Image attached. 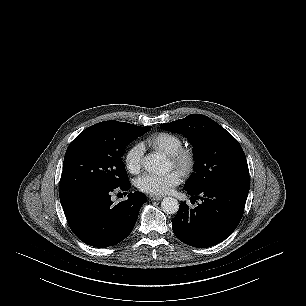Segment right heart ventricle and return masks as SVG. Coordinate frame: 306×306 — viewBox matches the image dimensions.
<instances>
[{
	"label": "right heart ventricle",
	"instance_id": "right-heart-ventricle-1",
	"mask_svg": "<svg viewBox=\"0 0 306 306\" xmlns=\"http://www.w3.org/2000/svg\"><path fill=\"white\" fill-rule=\"evenodd\" d=\"M144 144L170 156L182 147V139L170 132H159L149 137Z\"/></svg>",
	"mask_w": 306,
	"mask_h": 306
}]
</instances>
